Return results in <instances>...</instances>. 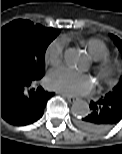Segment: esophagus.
Returning <instances> with one entry per match:
<instances>
[{
    "instance_id": "34e87169",
    "label": "esophagus",
    "mask_w": 122,
    "mask_h": 154,
    "mask_svg": "<svg viewBox=\"0 0 122 154\" xmlns=\"http://www.w3.org/2000/svg\"><path fill=\"white\" fill-rule=\"evenodd\" d=\"M58 94H60V95H62L63 97H65V98L68 100L69 103H74V102L77 100V99L74 98V97L66 96V95H64V94H62V93H58Z\"/></svg>"
}]
</instances>
